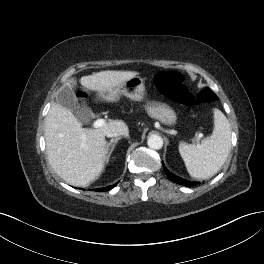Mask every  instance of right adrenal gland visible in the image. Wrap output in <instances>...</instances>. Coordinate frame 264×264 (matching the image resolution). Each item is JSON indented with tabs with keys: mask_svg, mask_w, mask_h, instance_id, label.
Instances as JSON below:
<instances>
[{
	"mask_svg": "<svg viewBox=\"0 0 264 264\" xmlns=\"http://www.w3.org/2000/svg\"><path fill=\"white\" fill-rule=\"evenodd\" d=\"M121 139V137L113 138L107 143L106 149L109 151V155L113 152L115 145Z\"/></svg>",
	"mask_w": 264,
	"mask_h": 264,
	"instance_id": "obj_1",
	"label": "right adrenal gland"
}]
</instances>
